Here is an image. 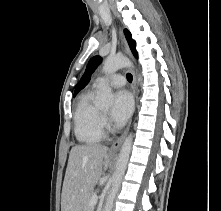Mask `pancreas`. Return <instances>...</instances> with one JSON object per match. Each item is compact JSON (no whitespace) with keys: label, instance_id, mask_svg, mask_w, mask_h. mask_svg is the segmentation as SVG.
<instances>
[{"label":"pancreas","instance_id":"cf45deb5","mask_svg":"<svg viewBox=\"0 0 221 211\" xmlns=\"http://www.w3.org/2000/svg\"><path fill=\"white\" fill-rule=\"evenodd\" d=\"M95 193L92 191L86 198L84 202V211H91V206H90V199Z\"/></svg>","mask_w":221,"mask_h":211}]
</instances>
